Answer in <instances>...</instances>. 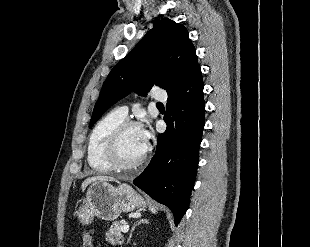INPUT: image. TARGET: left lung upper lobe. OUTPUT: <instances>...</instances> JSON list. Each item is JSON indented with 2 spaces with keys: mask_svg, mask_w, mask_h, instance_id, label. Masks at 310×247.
<instances>
[{
  "mask_svg": "<svg viewBox=\"0 0 310 247\" xmlns=\"http://www.w3.org/2000/svg\"><path fill=\"white\" fill-rule=\"evenodd\" d=\"M198 68L196 51L186 28L168 18L157 20L135 48L111 70L89 127L132 90L145 95L156 85L169 93Z\"/></svg>",
  "mask_w": 310,
  "mask_h": 247,
  "instance_id": "obj_1",
  "label": "left lung upper lobe"
}]
</instances>
